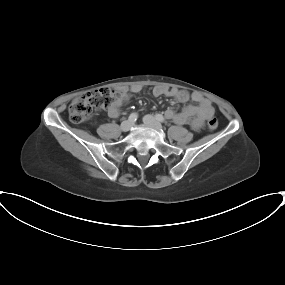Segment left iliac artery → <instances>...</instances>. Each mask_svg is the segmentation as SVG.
Returning a JSON list of instances; mask_svg holds the SVG:
<instances>
[{
	"mask_svg": "<svg viewBox=\"0 0 285 285\" xmlns=\"http://www.w3.org/2000/svg\"><path fill=\"white\" fill-rule=\"evenodd\" d=\"M155 117L161 123H165L166 122L165 118L161 114H156Z\"/></svg>",
	"mask_w": 285,
	"mask_h": 285,
	"instance_id": "left-iliac-artery-1",
	"label": "left iliac artery"
}]
</instances>
